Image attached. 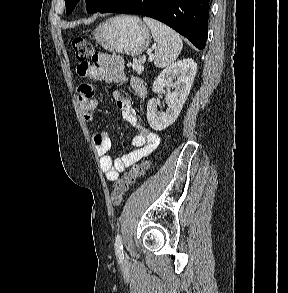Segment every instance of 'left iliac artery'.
<instances>
[{
	"instance_id": "44dca946",
	"label": "left iliac artery",
	"mask_w": 288,
	"mask_h": 293,
	"mask_svg": "<svg viewBox=\"0 0 288 293\" xmlns=\"http://www.w3.org/2000/svg\"><path fill=\"white\" fill-rule=\"evenodd\" d=\"M115 251L119 259L124 258L121 236L118 233L115 238Z\"/></svg>"
}]
</instances>
